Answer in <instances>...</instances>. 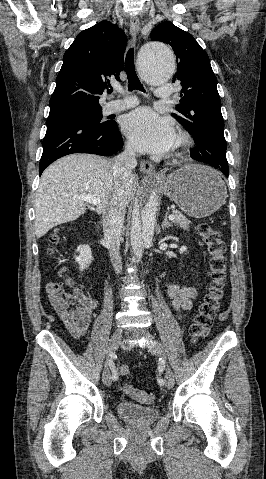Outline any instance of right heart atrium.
Returning a JSON list of instances; mask_svg holds the SVG:
<instances>
[{
	"mask_svg": "<svg viewBox=\"0 0 266 479\" xmlns=\"http://www.w3.org/2000/svg\"><path fill=\"white\" fill-rule=\"evenodd\" d=\"M128 151L132 152V149H131V147H130V146H128Z\"/></svg>",
	"mask_w": 266,
	"mask_h": 479,
	"instance_id": "obj_1",
	"label": "right heart atrium"
}]
</instances>
